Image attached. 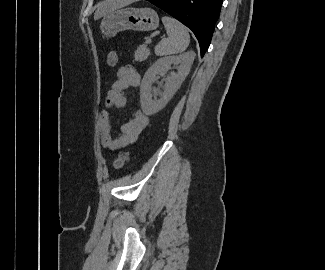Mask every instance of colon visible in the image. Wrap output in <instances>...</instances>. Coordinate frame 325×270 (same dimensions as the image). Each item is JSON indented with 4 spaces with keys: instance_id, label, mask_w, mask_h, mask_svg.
<instances>
[{
    "instance_id": "obj_1",
    "label": "colon",
    "mask_w": 325,
    "mask_h": 270,
    "mask_svg": "<svg viewBox=\"0 0 325 270\" xmlns=\"http://www.w3.org/2000/svg\"><path fill=\"white\" fill-rule=\"evenodd\" d=\"M117 63H118V54L115 50H112L108 53L107 64L110 67H114L117 65ZM128 158H129L128 152L120 153L119 156L114 161V164H113L114 168H116V169L121 168L125 164V162L128 160Z\"/></svg>"
}]
</instances>
